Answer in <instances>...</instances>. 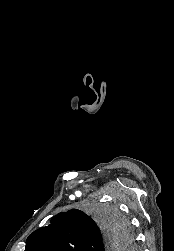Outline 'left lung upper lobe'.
I'll list each match as a JSON object with an SVG mask.
<instances>
[{"mask_svg":"<svg viewBox=\"0 0 174 251\" xmlns=\"http://www.w3.org/2000/svg\"><path fill=\"white\" fill-rule=\"evenodd\" d=\"M132 240L130 225L115 211L98 208L90 217L71 209L34 231L25 251H116L128 249Z\"/></svg>","mask_w":174,"mask_h":251,"instance_id":"5c2ea615","label":"left lung upper lobe"}]
</instances>
